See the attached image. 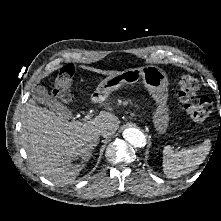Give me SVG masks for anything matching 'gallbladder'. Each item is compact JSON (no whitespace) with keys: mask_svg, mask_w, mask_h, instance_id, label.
<instances>
[{"mask_svg":"<svg viewBox=\"0 0 221 221\" xmlns=\"http://www.w3.org/2000/svg\"><path fill=\"white\" fill-rule=\"evenodd\" d=\"M32 96L40 104L45 105L53 112L62 115L65 118H71L72 113L56 98L49 95L47 89L43 86H37L32 90Z\"/></svg>","mask_w":221,"mask_h":221,"instance_id":"bac80fb5","label":"gallbladder"}]
</instances>
